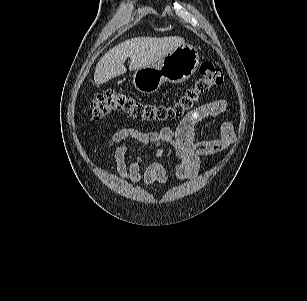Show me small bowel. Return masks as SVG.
I'll use <instances>...</instances> for the list:
<instances>
[{"label": "small bowel", "mask_w": 307, "mask_h": 301, "mask_svg": "<svg viewBox=\"0 0 307 301\" xmlns=\"http://www.w3.org/2000/svg\"><path fill=\"white\" fill-rule=\"evenodd\" d=\"M228 102L223 99L207 102L189 112L176 129L164 127L159 131H140L129 126H122L108 139L107 146L115 147L114 161L118 175L133 184H166L168 177L165 168L152 162L143 169L147 160H157L164 156L163 145H169L179 158L175 167L178 181L188 180L198 174L202 167V158L217 154L235 140L233 127L229 122L222 123L220 138L213 140H196V125L211 117L219 116L228 109ZM133 145L145 149L131 164L127 163V154Z\"/></svg>", "instance_id": "c3829d8e"}]
</instances>
